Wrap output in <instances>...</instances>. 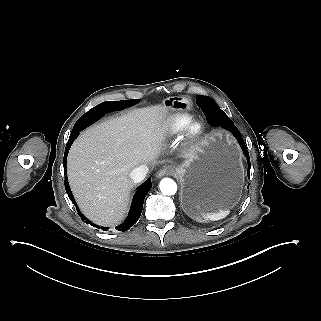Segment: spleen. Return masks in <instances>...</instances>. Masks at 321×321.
Wrapping results in <instances>:
<instances>
[{"instance_id":"3e777b00","label":"spleen","mask_w":321,"mask_h":321,"mask_svg":"<svg viewBox=\"0 0 321 321\" xmlns=\"http://www.w3.org/2000/svg\"><path fill=\"white\" fill-rule=\"evenodd\" d=\"M229 213L230 210H221L218 213H202L201 215L205 220L218 221L228 216Z\"/></svg>"}]
</instances>
